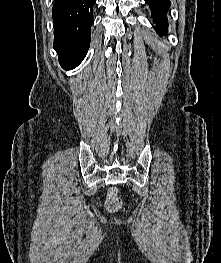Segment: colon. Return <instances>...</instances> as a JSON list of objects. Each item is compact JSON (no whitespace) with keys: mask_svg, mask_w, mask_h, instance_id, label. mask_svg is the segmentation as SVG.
<instances>
[{"mask_svg":"<svg viewBox=\"0 0 221 263\" xmlns=\"http://www.w3.org/2000/svg\"><path fill=\"white\" fill-rule=\"evenodd\" d=\"M105 208L112 213L118 212L123 208L122 199L116 187H112L108 190L105 200Z\"/></svg>","mask_w":221,"mask_h":263,"instance_id":"5ec220e1","label":"colon"}]
</instances>
